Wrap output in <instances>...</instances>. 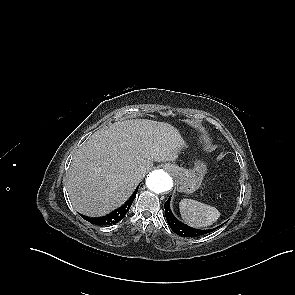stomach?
<instances>
[{
  "label": "stomach",
  "instance_id": "obj_1",
  "mask_svg": "<svg viewBox=\"0 0 295 295\" xmlns=\"http://www.w3.org/2000/svg\"><path fill=\"white\" fill-rule=\"evenodd\" d=\"M171 168L176 178L177 190L184 193H193L199 189L207 172L206 164L201 160L196 161L192 169L176 165H171Z\"/></svg>",
  "mask_w": 295,
  "mask_h": 295
}]
</instances>
